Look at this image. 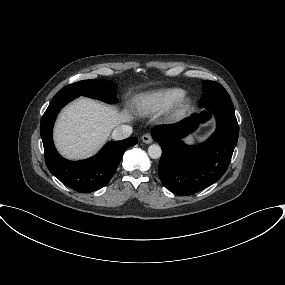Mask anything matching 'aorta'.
<instances>
[{
  "mask_svg": "<svg viewBox=\"0 0 285 285\" xmlns=\"http://www.w3.org/2000/svg\"><path fill=\"white\" fill-rule=\"evenodd\" d=\"M148 154L152 159H158L161 157L162 150L157 144H152L148 147Z\"/></svg>",
  "mask_w": 285,
  "mask_h": 285,
  "instance_id": "762f6f07",
  "label": "aorta"
}]
</instances>
